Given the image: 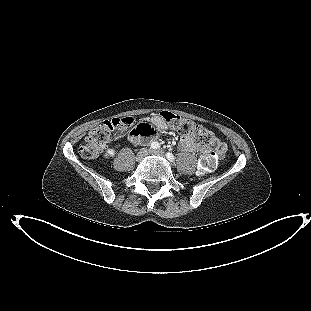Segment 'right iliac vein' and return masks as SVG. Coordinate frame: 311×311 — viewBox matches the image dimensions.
I'll use <instances>...</instances> for the list:
<instances>
[{
    "instance_id": "63e3f726",
    "label": "right iliac vein",
    "mask_w": 311,
    "mask_h": 311,
    "mask_svg": "<svg viewBox=\"0 0 311 311\" xmlns=\"http://www.w3.org/2000/svg\"><path fill=\"white\" fill-rule=\"evenodd\" d=\"M149 150L146 148L141 149L136 155V161H142L148 154Z\"/></svg>"
}]
</instances>
